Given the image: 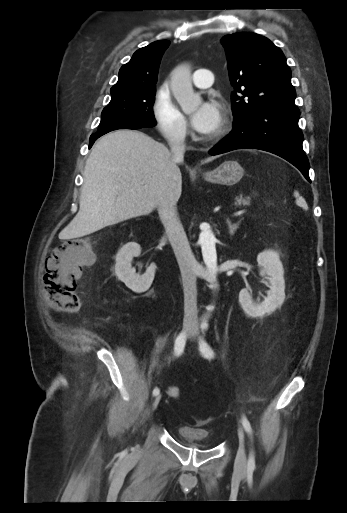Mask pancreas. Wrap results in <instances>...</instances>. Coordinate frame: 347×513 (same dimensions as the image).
I'll use <instances>...</instances> for the list:
<instances>
[{"mask_svg": "<svg viewBox=\"0 0 347 513\" xmlns=\"http://www.w3.org/2000/svg\"><path fill=\"white\" fill-rule=\"evenodd\" d=\"M245 201L242 200V199H239L237 202H236V206H240L241 204H243Z\"/></svg>", "mask_w": 347, "mask_h": 513, "instance_id": "pancreas-1", "label": "pancreas"}]
</instances>
